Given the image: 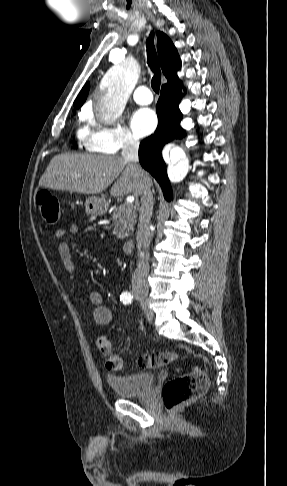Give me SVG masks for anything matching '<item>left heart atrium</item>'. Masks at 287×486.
I'll list each match as a JSON object with an SVG mask.
<instances>
[{
  "label": "left heart atrium",
  "instance_id": "left-heart-atrium-1",
  "mask_svg": "<svg viewBox=\"0 0 287 486\" xmlns=\"http://www.w3.org/2000/svg\"><path fill=\"white\" fill-rule=\"evenodd\" d=\"M157 118L151 109H139L131 118V127L138 137L150 134L156 127Z\"/></svg>",
  "mask_w": 287,
  "mask_h": 486
}]
</instances>
